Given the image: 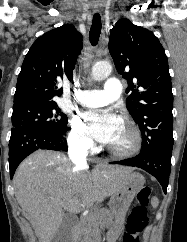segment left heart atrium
I'll list each match as a JSON object with an SVG mask.
<instances>
[{
    "label": "left heart atrium",
    "instance_id": "left-heart-atrium-1",
    "mask_svg": "<svg viewBox=\"0 0 187 242\" xmlns=\"http://www.w3.org/2000/svg\"><path fill=\"white\" fill-rule=\"evenodd\" d=\"M88 132L97 141L110 144L120 125V118L111 111H90L85 114Z\"/></svg>",
    "mask_w": 187,
    "mask_h": 242
}]
</instances>
